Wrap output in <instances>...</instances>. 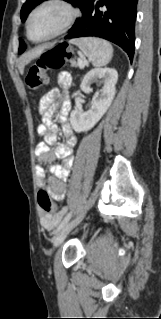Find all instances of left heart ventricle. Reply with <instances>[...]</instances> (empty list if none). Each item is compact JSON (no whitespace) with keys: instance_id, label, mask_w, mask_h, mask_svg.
Wrapping results in <instances>:
<instances>
[{"instance_id":"left-heart-ventricle-1","label":"left heart ventricle","mask_w":161,"mask_h":319,"mask_svg":"<svg viewBox=\"0 0 161 319\" xmlns=\"http://www.w3.org/2000/svg\"><path fill=\"white\" fill-rule=\"evenodd\" d=\"M65 11L57 6H49L38 12L32 19L30 34L32 38L39 39L53 33L62 23Z\"/></svg>"}]
</instances>
